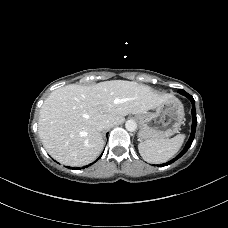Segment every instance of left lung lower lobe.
<instances>
[{
    "label": "left lung lower lobe",
    "mask_w": 228,
    "mask_h": 228,
    "mask_svg": "<svg viewBox=\"0 0 228 228\" xmlns=\"http://www.w3.org/2000/svg\"><path fill=\"white\" fill-rule=\"evenodd\" d=\"M184 96H186L192 103V120H193V123H192V129H191V135L189 137V140L188 142L186 143L183 151H181L180 154H178L175 158H173L172 160H170L169 162L167 163H164V164H161L160 166H167L171 163H173L174 161H176L177 159H179L180 157H182L186 152L187 150L189 149V147L191 146L193 140H194V137H195V131H196V125H197V118H196V111H195V100L193 99V97L191 95H189L188 93L184 92Z\"/></svg>",
    "instance_id": "obj_1"
}]
</instances>
